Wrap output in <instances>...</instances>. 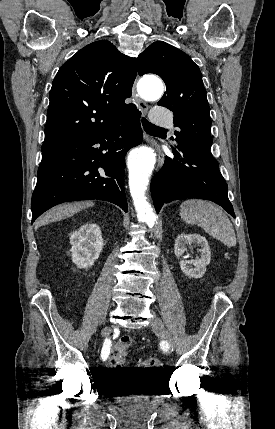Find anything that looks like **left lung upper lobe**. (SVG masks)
<instances>
[{
  "mask_svg": "<svg viewBox=\"0 0 275 429\" xmlns=\"http://www.w3.org/2000/svg\"><path fill=\"white\" fill-rule=\"evenodd\" d=\"M138 73L159 75L166 92L158 102L174 113L175 140L178 147L198 143L211 148L210 109L202 74L192 59L180 49L163 41L152 43L137 59Z\"/></svg>",
  "mask_w": 275,
  "mask_h": 429,
  "instance_id": "1",
  "label": "left lung upper lobe"
}]
</instances>
